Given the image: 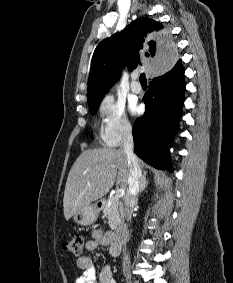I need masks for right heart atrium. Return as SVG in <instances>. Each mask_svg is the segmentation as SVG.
<instances>
[{
	"instance_id": "obj_1",
	"label": "right heart atrium",
	"mask_w": 233,
	"mask_h": 283,
	"mask_svg": "<svg viewBox=\"0 0 233 283\" xmlns=\"http://www.w3.org/2000/svg\"><path fill=\"white\" fill-rule=\"evenodd\" d=\"M99 114L102 119L100 136L105 145L118 146L132 135V123L120 101L112 96L105 97L99 105Z\"/></svg>"
}]
</instances>
